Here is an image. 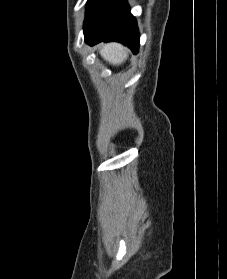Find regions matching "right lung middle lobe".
Instances as JSON below:
<instances>
[{
	"mask_svg": "<svg viewBox=\"0 0 227 279\" xmlns=\"http://www.w3.org/2000/svg\"><path fill=\"white\" fill-rule=\"evenodd\" d=\"M93 0H88V3H87V8L88 6L92 3Z\"/></svg>",
	"mask_w": 227,
	"mask_h": 279,
	"instance_id": "1",
	"label": "right lung middle lobe"
}]
</instances>
